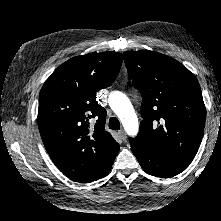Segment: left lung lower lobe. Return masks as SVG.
I'll use <instances>...</instances> for the list:
<instances>
[{
  "instance_id": "0a47b994",
  "label": "left lung lower lobe",
  "mask_w": 221,
  "mask_h": 221,
  "mask_svg": "<svg viewBox=\"0 0 221 221\" xmlns=\"http://www.w3.org/2000/svg\"><path fill=\"white\" fill-rule=\"evenodd\" d=\"M143 170L153 176L170 178L185 170L191 162L155 150L138 149L131 145Z\"/></svg>"
}]
</instances>
